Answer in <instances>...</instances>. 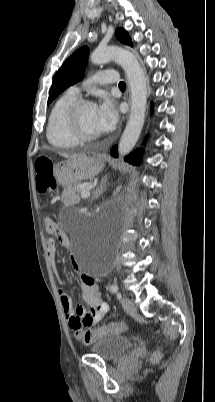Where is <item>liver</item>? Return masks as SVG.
<instances>
[{"mask_svg": "<svg viewBox=\"0 0 215 402\" xmlns=\"http://www.w3.org/2000/svg\"><path fill=\"white\" fill-rule=\"evenodd\" d=\"M64 157L71 159V158H75V157H77V156H68V155H64Z\"/></svg>", "mask_w": 215, "mask_h": 402, "instance_id": "1", "label": "liver"}]
</instances>
